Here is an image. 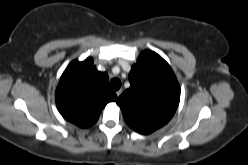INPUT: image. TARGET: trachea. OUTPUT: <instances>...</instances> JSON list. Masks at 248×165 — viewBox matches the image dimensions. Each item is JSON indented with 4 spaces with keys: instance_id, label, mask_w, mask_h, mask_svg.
<instances>
[{
    "instance_id": "obj_1",
    "label": "trachea",
    "mask_w": 248,
    "mask_h": 165,
    "mask_svg": "<svg viewBox=\"0 0 248 165\" xmlns=\"http://www.w3.org/2000/svg\"><path fill=\"white\" fill-rule=\"evenodd\" d=\"M110 87L112 90H118L121 87V81L118 78H113L110 81Z\"/></svg>"
}]
</instances>
